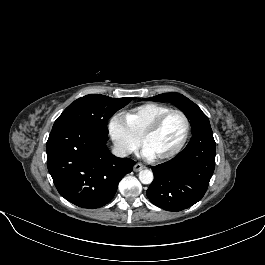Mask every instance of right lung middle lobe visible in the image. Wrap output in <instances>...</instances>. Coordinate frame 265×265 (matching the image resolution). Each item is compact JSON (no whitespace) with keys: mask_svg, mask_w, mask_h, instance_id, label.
Returning a JSON list of instances; mask_svg holds the SVG:
<instances>
[{"mask_svg":"<svg viewBox=\"0 0 265 265\" xmlns=\"http://www.w3.org/2000/svg\"><path fill=\"white\" fill-rule=\"evenodd\" d=\"M131 100L132 97L115 99L99 94L86 95L71 103L55 121L52 129L63 125H80L107 136L109 118Z\"/></svg>","mask_w":265,"mask_h":265,"instance_id":"dd1d6c3e","label":"right lung middle lobe"}]
</instances>
